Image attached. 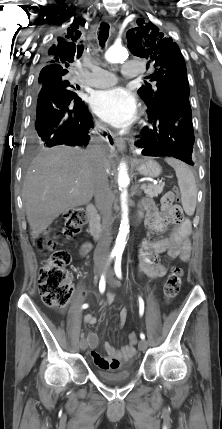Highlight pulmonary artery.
I'll use <instances>...</instances> for the list:
<instances>
[{
    "mask_svg": "<svg viewBox=\"0 0 222 429\" xmlns=\"http://www.w3.org/2000/svg\"><path fill=\"white\" fill-rule=\"evenodd\" d=\"M141 72L142 70L138 62L128 61L122 65V75L125 78L131 79L137 77ZM116 80L115 74L96 66L91 67V72L82 79L86 85L95 88L114 85Z\"/></svg>",
    "mask_w": 222,
    "mask_h": 429,
    "instance_id": "pulmonary-artery-1",
    "label": "pulmonary artery"
}]
</instances>
